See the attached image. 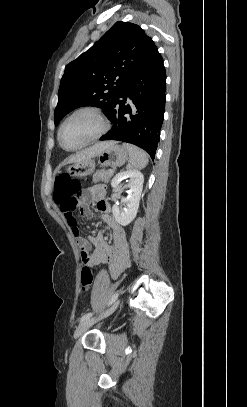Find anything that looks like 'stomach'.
<instances>
[{"label": "stomach", "mask_w": 247, "mask_h": 407, "mask_svg": "<svg viewBox=\"0 0 247 407\" xmlns=\"http://www.w3.org/2000/svg\"><path fill=\"white\" fill-rule=\"evenodd\" d=\"M98 163L103 167H119L128 160V151L121 145L113 142L97 156ZM95 159L88 158L67 167V172L75 177H83L93 173Z\"/></svg>", "instance_id": "1"}]
</instances>
